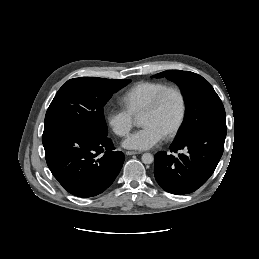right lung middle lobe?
I'll return each mask as SVG.
<instances>
[{
  "label": "right lung middle lobe",
  "mask_w": 259,
  "mask_h": 259,
  "mask_svg": "<svg viewBox=\"0 0 259 259\" xmlns=\"http://www.w3.org/2000/svg\"><path fill=\"white\" fill-rule=\"evenodd\" d=\"M128 79L80 77L68 80L57 92L45 116L44 130L77 126L108 134L103 106Z\"/></svg>",
  "instance_id": "obj_1"
}]
</instances>
